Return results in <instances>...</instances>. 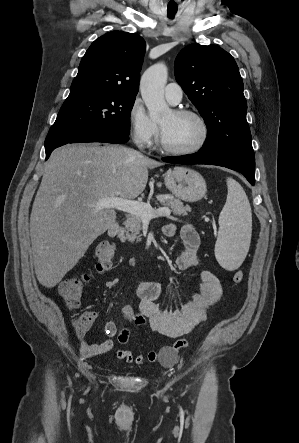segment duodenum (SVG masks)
Wrapping results in <instances>:
<instances>
[{
	"label": "duodenum",
	"instance_id": "410a0bca",
	"mask_svg": "<svg viewBox=\"0 0 299 443\" xmlns=\"http://www.w3.org/2000/svg\"><path fill=\"white\" fill-rule=\"evenodd\" d=\"M120 229V224L117 221H113L108 227L109 236L116 237L120 233Z\"/></svg>",
	"mask_w": 299,
	"mask_h": 443
}]
</instances>
